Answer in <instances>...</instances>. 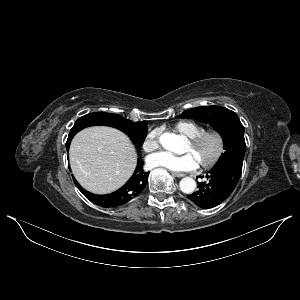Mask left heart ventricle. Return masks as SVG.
Instances as JSON below:
<instances>
[{"mask_svg": "<svg viewBox=\"0 0 300 300\" xmlns=\"http://www.w3.org/2000/svg\"><path fill=\"white\" fill-rule=\"evenodd\" d=\"M217 149V141L215 137H207L197 146H192L189 142H187L184 152L191 153L198 164L209 160L216 152Z\"/></svg>", "mask_w": 300, "mask_h": 300, "instance_id": "b2bd125f", "label": "left heart ventricle"}]
</instances>
